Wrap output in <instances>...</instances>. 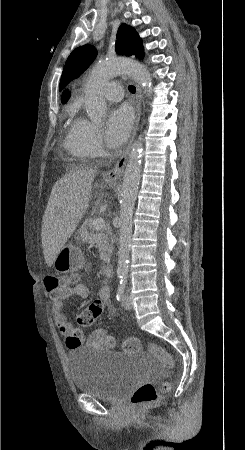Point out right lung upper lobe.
<instances>
[{"label":"right lung upper lobe","instance_id":"cb5924a9","mask_svg":"<svg viewBox=\"0 0 245 450\" xmlns=\"http://www.w3.org/2000/svg\"><path fill=\"white\" fill-rule=\"evenodd\" d=\"M69 97H70V93L68 90H66L62 95V103H66L68 101Z\"/></svg>","mask_w":245,"mask_h":450}]
</instances>
